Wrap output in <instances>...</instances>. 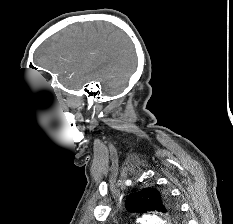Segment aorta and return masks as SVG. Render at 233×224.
<instances>
[{
	"mask_svg": "<svg viewBox=\"0 0 233 224\" xmlns=\"http://www.w3.org/2000/svg\"><path fill=\"white\" fill-rule=\"evenodd\" d=\"M139 222L141 224H166L164 220L156 215H144Z\"/></svg>",
	"mask_w": 233,
	"mask_h": 224,
	"instance_id": "762f6f07",
	"label": "aorta"
}]
</instances>
